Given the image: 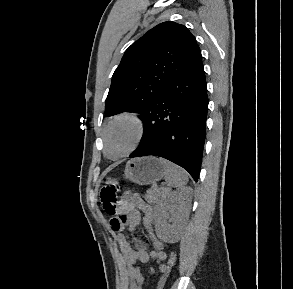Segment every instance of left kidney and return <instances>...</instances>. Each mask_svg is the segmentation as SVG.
Wrapping results in <instances>:
<instances>
[{
  "label": "left kidney",
  "instance_id": "left-kidney-1",
  "mask_svg": "<svg viewBox=\"0 0 293 289\" xmlns=\"http://www.w3.org/2000/svg\"><path fill=\"white\" fill-rule=\"evenodd\" d=\"M190 193L191 189L188 187L170 192L157 208L154 225L160 240L167 243L179 240L190 210Z\"/></svg>",
  "mask_w": 293,
  "mask_h": 289
}]
</instances>
